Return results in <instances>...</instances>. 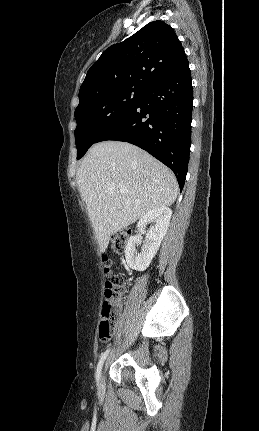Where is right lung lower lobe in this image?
Returning <instances> with one entry per match:
<instances>
[{"label":"right lung lower lobe","instance_id":"right-lung-lower-lobe-1","mask_svg":"<svg viewBox=\"0 0 259 431\" xmlns=\"http://www.w3.org/2000/svg\"><path fill=\"white\" fill-rule=\"evenodd\" d=\"M192 107L187 66L146 89L138 103L97 142L124 141L146 150L175 173L182 190L191 146Z\"/></svg>","mask_w":259,"mask_h":431}]
</instances>
